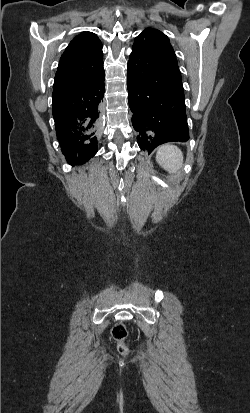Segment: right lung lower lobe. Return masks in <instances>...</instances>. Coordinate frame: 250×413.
<instances>
[{
	"instance_id": "98d812e1",
	"label": "right lung lower lobe",
	"mask_w": 250,
	"mask_h": 413,
	"mask_svg": "<svg viewBox=\"0 0 250 413\" xmlns=\"http://www.w3.org/2000/svg\"><path fill=\"white\" fill-rule=\"evenodd\" d=\"M104 70L90 82L53 89L57 139L70 165L88 161L98 151Z\"/></svg>"
}]
</instances>
